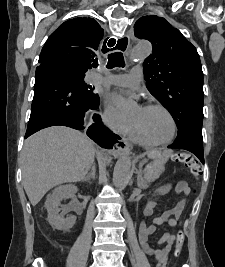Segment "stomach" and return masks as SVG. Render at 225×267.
<instances>
[{
  "instance_id": "stomach-1",
  "label": "stomach",
  "mask_w": 225,
  "mask_h": 267,
  "mask_svg": "<svg viewBox=\"0 0 225 267\" xmlns=\"http://www.w3.org/2000/svg\"><path fill=\"white\" fill-rule=\"evenodd\" d=\"M151 158H155V161L156 160H166V158L163 156V155H161V154H150L149 155Z\"/></svg>"
}]
</instances>
